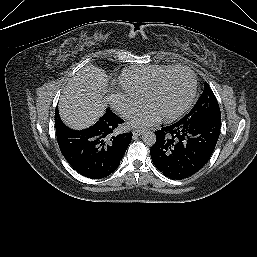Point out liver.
<instances>
[{
  "mask_svg": "<svg viewBox=\"0 0 257 257\" xmlns=\"http://www.w3.org/2000/svg\"><path fill=\"white\" fill-rule=\"evenodd\" d=\"M107 83L106 73L99 67L90 65L78 71L63 89L59 102L65 124L73 129L93 125L106 110Z\"/></svg>",
  "mask_w": 257,
  "mask_h": 257,
  "instance_id": "1",
  "label": "liver"
}]
</instances>
